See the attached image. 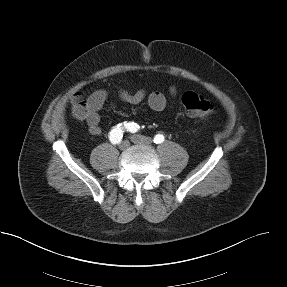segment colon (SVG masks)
I'll list each match as a JSON object with an SVG mask.
<instances>
[{"label":"colon","instance_id":"obj_1","mask_svg":"<svg viewBox=\"0 0 287 287\" xmlns=\"http://www.w3.org/2000/svg\"><path fill=\"white\" fill-rule=\"evenodd\" d=\"M181 103L186 114L193 118L209 119L214 113L212 104L194 92L184 93L181 97ZM72 111L77 119H85L88 115L87 102L76 98L73 102Z\"/></svg>","mask_w":287,"mask_h":287}]
</instances>
